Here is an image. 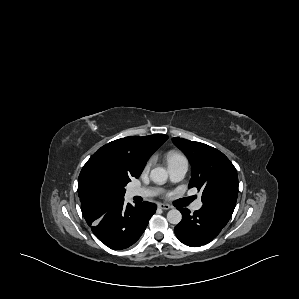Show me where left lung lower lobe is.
Instances as JSON below:
<instances>
[{
    "mask_svg": "<svg viewBox=\"0 0 299 299\" xmlns=\"http://www.w3.org/2000/svg\"><path fill=\"white\" fill-rule=\"evenodd\" d=\"M179 210L182 213V221L174 228V232L182 243L190 247H199L209 243L227 224L201 208L193 214H190L187 208Z\"/></svg>",
    "mask_w": 299,
    "mask_h": 299,
    "instance_id": "1",
    "label": "left lung lower lobe"
}]
</instances>
